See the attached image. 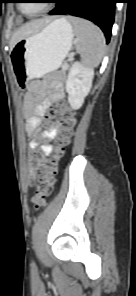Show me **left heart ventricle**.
Instances as JSON below:
<instances>
[{"label": "left heart ventricle", "mask_w": 136, "mask_h": 296, "mask_svg": "<svg viewBox=\"0 0 136 296\" xmlns=\"http://www.w3.org/2000/svg\"><path fill=\"white\" fill-rule=\"evenodd\" d=\"M46 3H40V2H36V1H29L28 3H24V9L30 13H36L39 10H41L43 8V6H45Z\"/></svg>", "instance_id": "obj_1"}]
</instances>
